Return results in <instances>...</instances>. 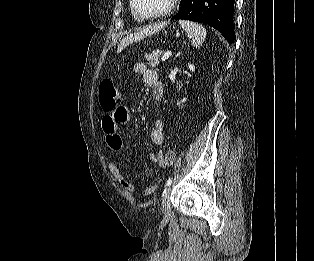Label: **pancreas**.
I'll use <instances>...</instances> for the list:
<instances>
[{
	"instance_id": "obj_1",
	"label": "pancreas",
	"mask_w": 314,
	"mask_h": 261,
	"mask_svg": "<svg viewBox=\"0 0 314 261\" xmlns=\"http://www.w3.org/2000/svg\"><path fill=\"white\" fill-rule=\"evenodd\" d=\"M164 55L163 50H155L152 53L146 54L145 59L151 67H157L160 64V59Z\"/></svg>"
}]
</instances>
